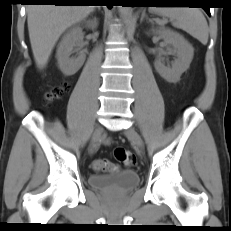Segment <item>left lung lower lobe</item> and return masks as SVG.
<instances>
[{
	"mask_svg": "<svg viewBox=\"0 0 231 231\" xmlns=\"http://www.w3.org/2000/svg\"><path fill=\"white\" fill-rule=\"evenodd\" d=\"M134 3V6H148V4H154L159 3L157 0H132ZM203 9L207 12V14L210 16V8L209 7H203Z\"/></svg>",
	"mask_w": 231,
	"mask_h": 231,
	"instance_id": "obj_1",
	"label": "left lung lower lobe"
}]
</instances>
